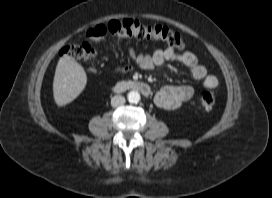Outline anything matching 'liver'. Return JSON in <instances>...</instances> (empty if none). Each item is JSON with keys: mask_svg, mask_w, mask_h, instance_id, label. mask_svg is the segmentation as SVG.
I'll use <instances>...</instances> for the list:
<instances>
[{"mask_svg": "<svg viewBox=\"0 0 272 198\" xmlns=\"http://www.w3.org/2000/svg\"><path fill=\"white\" fill-rule=\"evenodd\" d=\"M87 76L83 67L71 56L59 59L54 81L53 96L58 106L72 102L84 90Z\"/></svg>", "mask_w": 272, "mask_h": 198, "instance_id": "obj_1", "label": "liver"}]
</instances>
